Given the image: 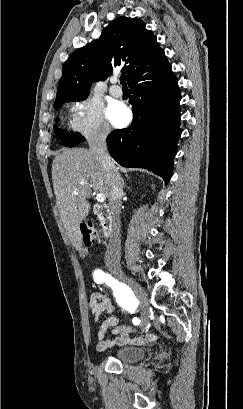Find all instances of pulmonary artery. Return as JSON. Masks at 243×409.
<instances>
[{"mask_svg":"<svg viewBox=\"0 0 243 409\" xmlns=\"http://www.w3.org/2000/svg\"><path fill=\"white\" fill-rule=\"evenodd\" d=\"M111 82H112V86L109 88V93L115 98L121 97L123 92H122V89L119 86L116 85L117 78L113 77L111 79Z\"/></svg>","mask_w":243,"mask_h":409,"instance_id":"1","label":"pulmonary artery"}]
</instances>
